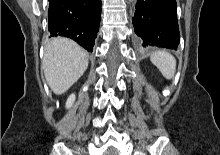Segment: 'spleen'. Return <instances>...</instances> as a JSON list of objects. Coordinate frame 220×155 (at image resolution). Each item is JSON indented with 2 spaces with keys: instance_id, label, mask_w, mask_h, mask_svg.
Here are the masks:
<instances>
[{
  "instance_id": "1",
  "label": "spleen",
  "mask_w": 220,
  "mask_h": 155,
  "mask_svg": "<svg viewBox=\"0 0 220 155\" xmlns=\"http://www.w3.org/2000/svg\"><path fill=\"white\" fill-rule=\"evenodd\" d=\"M150 60L166 79L170 80L174 77L176 59L170 53L165 50L157 51L151 54Z\"/></svg>"
}]
</instances>
